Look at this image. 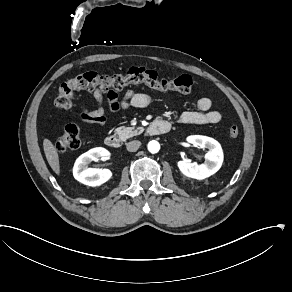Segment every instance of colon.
<instances>
[{"label": "colon", "mask_w": 292, "mask_h": 292, "mask_svg": "<svg viewBox=\"0 0 292 292\" xmlns=\"http://www.w3.org/2000/svg\"><path fill=\"white\" fill-rule=\"evenodd\" d=\"M144 84L152 89L160 91H179L190 93L193 90V80L189 75L182 74L176 77L167 78L160 76L157 71L141 66H133L122 75H99L95 72L70 79L62 83L55 98V105L58 110H69L72 106L76 92L81 90H121L129 84ZM229 133L232 137L239 135V128L231 126ZM82 141L79 130L73 125L65 126L56 140L55 148L58 151L76 150L81 147Z\"/></svg>", "instance_id": "1"}]
</instances>
